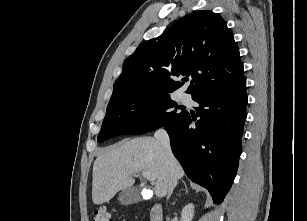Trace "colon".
<instances>
[{
    "label": "colon",
    "mask_w": 307,
    "mask_h": 221,
    "mask_svg": "<svg viewBox=\"0 0 307 221\" xmlns=\"http://www.w3.org/2000/svg\"><path fill=\"white\" fill-rule=\"evenodd\" d=\"M92 221H110V214L106 207L101 206L97 208L94 212Z\"/></svg>",
    "instance_id": "colon-1"
}]
</instances>
